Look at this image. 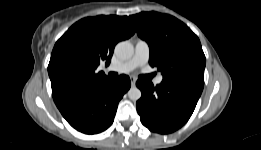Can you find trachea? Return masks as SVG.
Returning a JSON list of instances; mask_svg holds the SVG:
<instances>
[{
  "instance_id": "trachea-1",
  "label": "trachea",
  "mask_w": 261,
  "mask_h": 150,
  "mask_svg": "<svg viewBox=\"0 0 261 150\" xmlns=\"http://www.w3.org/2000/svg\"><path fill=\"white\" fill-rule=\"evenodd\" d=\"M117 73H115V72H110L109 74H108V76L109 77H117Z\"/></svg>"
}]
</instances>
